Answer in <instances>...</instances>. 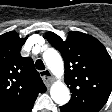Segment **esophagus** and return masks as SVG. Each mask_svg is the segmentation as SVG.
<instances>
[{
	"mask_svg": "<svg viewBox=\"0 0 112 112\" xmlns=\"http://www.w3.org/2000/svg\"><path fill=\"white\" fill-rule=\"evenodd\" d=\"M41 78L43 80V82L47 85L50 86L52 81H53V77L51 75V72L49 70H43L40 72Z\"/></svg>",
	"mask_w": 112,
	"mask_h": 112,
	"instance_id": "1",
	"label": "esophagus"
}]
</instances>
